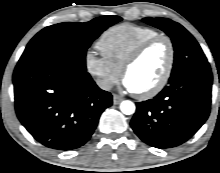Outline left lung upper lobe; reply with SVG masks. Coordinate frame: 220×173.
<instances>
[{"label":"left lung upper lobe","instance_id":"1","mask_svg":"<svg viewBox=\"0 0 220 173\" xmlns=\"http://www.w3.org/2000/svg\"><path fill=\"white\" fill-rule=\"evenodd\" d=\"M146 23L163 30L171 37L174 65L169 82L185 74L211 71L209 62L195 38L179 23L166 18H144Z\"/></svg>","mask_w":220,"mask_h":173}]
</instances>
